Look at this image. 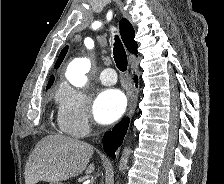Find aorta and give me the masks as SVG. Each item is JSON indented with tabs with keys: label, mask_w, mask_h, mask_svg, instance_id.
I'll return each mask as SVG.
<instances>
[{
	"label": "aorta",
	"mask_w": 224,
	"mask_h": 184,
	"mask_svg": "<svg viewBox=\"0 0 224 184\" xmlns=\"http://www.w3.org/2000/svg\"><path fill=\"white\" fill-rule=\"evenodd\" d=\"M90 68L91 62L88 58L74 59L68 65L66 78L73 86L83 87L87 82L86 73L89 72Z\"/></svg>",
	"instance_id": "aorta-1"
}]
</instances>
